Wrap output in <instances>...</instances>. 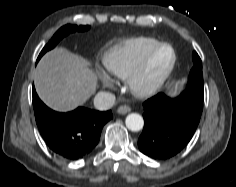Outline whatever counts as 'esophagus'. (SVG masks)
<instances>
[{"label": "esophagus", "instance_id": "34e87169", "mask_svg": "<svg viewBox=\"0 0 236 187\" xmlns=\"http://www.w3.org/2000/svg\"><path fill=\"white\" fill-rule=\"evenodd\" d=\"M131 111L130 107L129 106H126V105H122V106H119L117 108V112L119 114H127Z\"/></svg>", "mask_w": 236, "mask_h": 187}]
</instances>
